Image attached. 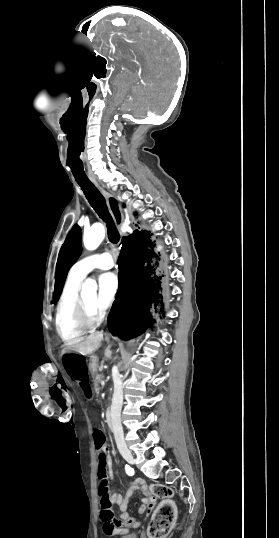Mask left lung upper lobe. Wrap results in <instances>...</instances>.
Instances as JSON below:
<instances>
[{
    "label": "left lung upper lobe",
    "instance_id": "left-lung-upper-lobe-1",
    "mask_svg": "<svg viewBox=\"0 0 279 538\" xmlns=\"http://www.w3.org/2000/svg\"><path fill=\"white\" fill-rule=\"evenodd\" d=\"M81 251V229L78 225L75 224L59 252V257L56 265L57 270L54 299L52 303L58 301L64 286L67 273L70 267L78 260Z\"/></svg>",
    "mask_w": 279,
    "mask_h": 538
}]
</instances>
